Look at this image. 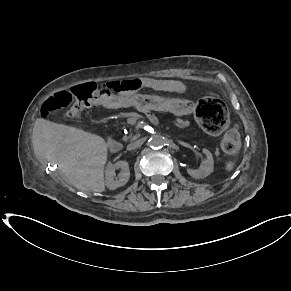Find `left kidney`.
<instances>
[{"label":"left kidney","instance_id":"1","mask_svg":"<svg viewBox=\"0 0 291 291\" xmlns=\"http://www.w3.org/2000/svg\"><path fill=\"white\" fill-rule=\"evenodd\" d=\"M203 153L206 155V159L201 163L198 169H187L188 174L196 179L205 178L213 172L214 161L212 153L203 149Z\"/></svg>","mask_w":291,"mask_h":291}]
</instances>
